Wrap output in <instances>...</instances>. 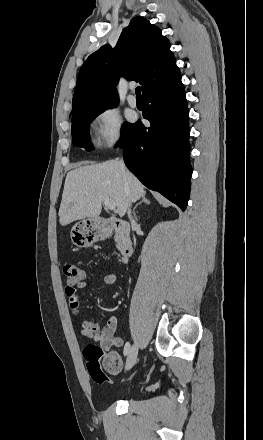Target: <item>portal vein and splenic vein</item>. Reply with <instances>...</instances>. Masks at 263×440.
Wrapping results in <instances>:
<instances>
[{
  "instance_id": "portal-vein-and-splenic-vein-1",
  "label": "portal vein and splenic vein",
  "mask_w": 263,
  "mask_h": 440,
  "mask_svg": "<svg viewBox=\"0 0 263 440\" xmlns=\"http://www.w3.org/2000/svg\"><path fill=\"white\" fill-rule=\"evenodd\" d=\"M103 203H104V205H105V207L107 209H109V210H116V204L111 199L105 198V199H103Z\"/></svg>"
}]
</instances>
